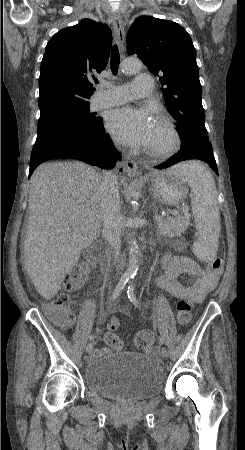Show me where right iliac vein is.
<instances>
[{
	"instance_id": "obj_1",
	"label": "right iliac vein",
	"mask_w": 245,
	"mask_h": 450,
	"mask_svg": "<svg viewBox=\"0 0 245 450\" xmlns=\"http://www.w3.org/2000/svg\"><path fill=\"white\" fill-rule=\"evenodd\" d=\"M92 350H93V344L92 343L87 344L86 352L90 353Z\"/></svg>"
}]
</instances>
